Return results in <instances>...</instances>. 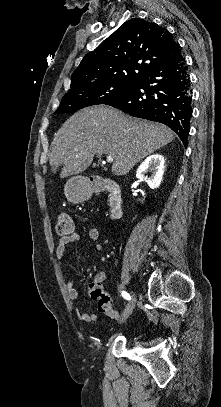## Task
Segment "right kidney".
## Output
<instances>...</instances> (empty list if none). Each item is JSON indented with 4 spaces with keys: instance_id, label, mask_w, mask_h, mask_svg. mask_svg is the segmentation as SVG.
Listing matches in <instances>:
<instances>
[{
    "instance_id": "obj_1",
    "label": "right kidney",
    "mask_w": 221,
    "mask_h": 407,
    "mask_svg": "<svg viewBox=\"0 0 221 407\" xmlns=\"http://www.w3.org/2000/svg\"><path fill=\"white\" fill-rule=\"evenodd\" d=\"M164 157L160 154H153L147 157L139 166L136 172V177L139 180H144L151 189H156L160 186L164 174ZM147 172H152V176L148 177Z\"/></svg>"
}]
</instances>
